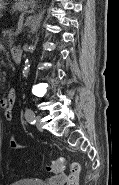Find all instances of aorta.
Returning a JSON list of instances; mask_svg holds the SVG:
<instances>
[{"label": "aorta", "instance_id": "1", "mask_svg": "<svg viewBox=\"0 0 119 185\" xmlns=\"http://www.w3.org/2000/svg\"><path fill=\"white\" fill-rule=\"evenodd\" d=\"M29 72V65H28V60H26V65L23 69V75H27V73Z\"/></svg>", "mask_w": 119, "mask_h": 185}]
</instances>
